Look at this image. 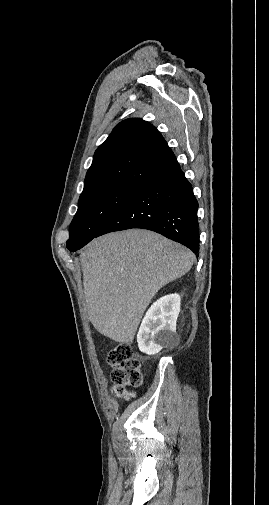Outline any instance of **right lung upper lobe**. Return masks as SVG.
<instances>
[{"label": "right lung upper lobe", "mask_w": 269, "mask_h": 505, "mask_svg": "<svg viewBox=\"0 0 269 505\" xmlns=\"http://www.w3.org/2000/svg\"><path fill=\"white\" fill-rule=\"evenodd\" d=\"M176 162L172 150L153 125L130 118L120 122L95 151L84 190L107 184L141 187Z\"/></svg>", "instance_id": "right-lung-upper-lobe-1"}]
</instances>
